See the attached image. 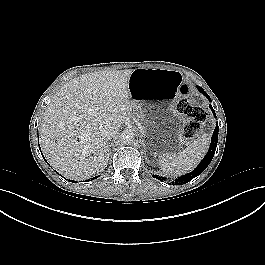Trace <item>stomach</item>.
Listing matches in <instances>:
<instances>
[{
    "label": "stomach",
    "mask_w": 265,
    "mask_h": 265,
    "mask_svg": "<svg viewBox=\"0 0 265 265\" xmlns=\"http://www.w3.org/2000/svg\"><path fill=\"white\" fill-rule=\"evenodd\" d=\"M181 80L179 72L164 69L138 68L130 75L127 113L142 155L151 164L166 163L178 148L181 128L171 102Z\"/></svg>",
    "instance_id": "stomach-1"
}]
</instances>
